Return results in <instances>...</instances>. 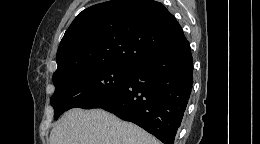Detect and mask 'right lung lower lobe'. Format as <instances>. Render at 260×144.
Returning a JSON list of instances; mask_svg holds the SVG:
<instances>
[{
  "mask_svg": "<svg viewBox=\"0 0 260 144\" xmlns=\"http://www.w3.org/2000/svg\"><path fill=\"white\" fill-rule=\"evenodd\" d=\"M193 82L189 42L160 52L130 67L127 82L92 108H102L174 144Z\"/></svg>",
  "mask_w": 260,
  "mask_h": 144,
  "instance_id": "1",
  "label": "right lung lower lobe"
}]
</instances>
